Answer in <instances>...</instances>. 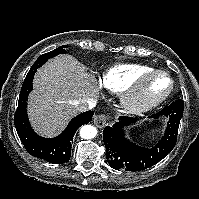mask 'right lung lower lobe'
<instances>
[{"mask_svg": "<svg viewBox=\"0 0 199 199\" xmlns=\"http://www.w3.org/2000/svg\"><path fill=\"white\" fill-rule=\"evenodd\" d=\"M46 61L35 62L29 70L18 101V108L14 115V124L18 136L24 147L32 156L53 164H61L70 159L73 137L77 129L92 120L93 111H87L73 118L67 128L53 139L38 136L31 128L27 117V98L32 91L33 77L39 67Z\"/></svg>", "mask_w": 199, "mask_h": 199, "instance_id": "98d812e1", "label": "right lung lower lobe"}]
</instances>
